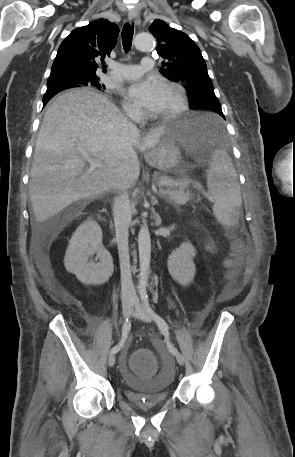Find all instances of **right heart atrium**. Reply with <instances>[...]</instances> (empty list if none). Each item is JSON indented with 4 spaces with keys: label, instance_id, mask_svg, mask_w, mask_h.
<instances>
[{
    "label": "right heart atrium",
    "instance_id": "d8ad5b80",
    "mask_svg": "<svg viewBox=\"0 0 295 457\" xmlns=\"http://www.w3.org/2000/svg\"><path fill=\"white\" fill-rule=\"evenodd\" d=\"M123 106H124L125 112L127 113V115L129 117H131L133 119H141L142 118L143 112L137 106H135V105H133L131 103H128V102H124Z\"/></svg>",
    "mask_w": 295,
    "mask_h": 457
}]
</instances>
